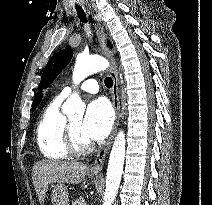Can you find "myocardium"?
<instances>
[{
    "mask_svg": "<svg viewBox=\"0 0 212 205\" xmlns=\"http://www.w3.org/2000/svg\"><path fill=\"white\" fill-rule=\"evenodd\" d=\"M65 144H66L68 151L75 155L86 154V153L90 152L92 149V145L89 141L81 142L77 138L75 132L73 131L70 121H67V123H66Z\"/></svg>",
    "mask_w": 212,
    "mask_h": 205,
    "instance_id": "obj_1",
    "label": "myocardium"
}]
</instances>
